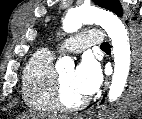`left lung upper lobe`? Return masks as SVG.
<instances>
[{"instance_id": "5c2ea615", "label": "left lung upper lobe", "mask_w": 142, "mask_h": 119, "mask_svg": "<svg viewBox=\"0 0 142 119\" xmlns=\"http://www.w3.org/2000/svg\"><path fill=\"white\" fill-rule=\"evenodd\" d=\"M93 1L96 5L114 12L119 17H121L123 14L122 7L118 0H93Z\"/></svg>"}]
</instances>
